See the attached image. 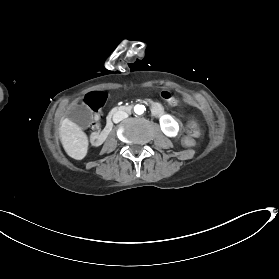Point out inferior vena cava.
Listing matches in <instances>:
<instances>
[{
	"label": "inferior vena cava",
	"mask_w": 279,
	"mask_h": 279,
	"mask_svg": "<svg viewBox=\"0 0 279 279\" xmlns=\"http://www.w3.org/2000/svg\"><path fill=\"white\" fill-rule=\"evenodd\" d=\"M128 117V114L125 113L124 111L122 110H119L117 111L116 113H114V116H113V121L115 123H118L120 121H122L123 119L127 118Z\"/></svg>",
	"instance_id": "obj_1"
}]
</instances>
